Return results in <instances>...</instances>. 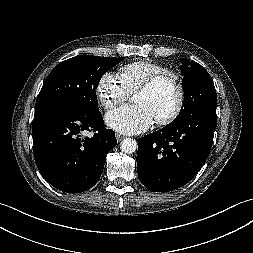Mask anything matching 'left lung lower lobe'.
<instances>
[{
  "label": "left lung lower lobe",
  "instance_id": "left-lung-lower-lobe-1",
  "mask_svg": "<svg viewBox=\"0 0 253 253\" xmlns=\"http://www.w3.org/2000/svg\"><path fill=\"white\" fill-rule=\"evenodd\" d=\"M216 111L199 110L171 127L139 138L137 171L151 191L167 192L187 184L211 150Z\"/></svg>",
  "mask_w": 253,
  "mask_h": 253
}]
</instances>
